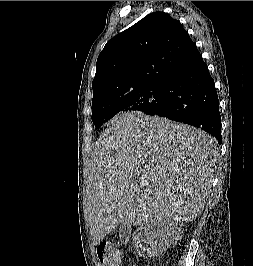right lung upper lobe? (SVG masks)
Listing matches in <instances>:
<instances>
[{"instance_id": "cb5924a9", "label": "right lung upper lobe", "mask_w": 253, "mask_h": 266, "mask_svg": "<svg viewBox=\"0 0 253 266\" xmlns=\"http://www.w3.org/2000/svg\"><path fill=\"white\" fill-rule=\"evenodd\" d=\"M200 55L180 22L154 12L110 39L98 56L92 105L172 73Z\"/></svg>"}]
</instances>
